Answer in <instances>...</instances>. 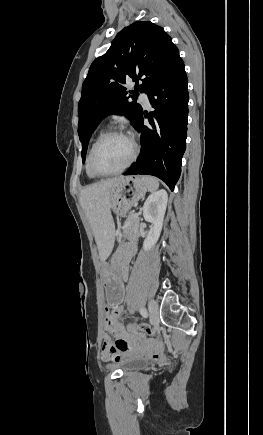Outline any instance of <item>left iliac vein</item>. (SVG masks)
<instances>
[{"label":"left iliac vein","instance_id":"1","mask_svg":"<svg viewBox=\"0 0 263 435\" xmlns=\"http://www.w3.org/2000/svg\"><path fill=\"white\" fill-rule=\"evenodd\" d=\"M149 317L151 324H155L158 321L159 311L155 300H150L149 302Z\"/></svg>","mask_w":263,"mask_h":435}]
</instances>
